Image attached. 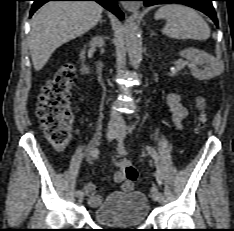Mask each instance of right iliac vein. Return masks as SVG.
I'll return each mask as SVG.
<instances>
[{
  "mask_svg": "<svg viewBox=\"0 0 234 231\" xmlns=\"http://www.w3.org/2000/svg\"><path fill=\"white\" fill-rule=\"evenodd\" d=\"M120 135V132L119 130L115 129V128H110L108 131H107V139L109 141H112L113 139H116L118 138V136ZM84 199V194H80L78 195V201L79 202H82Z\"/></svg>",
  "mask_w": 234,
  "mask_h": 231,
  "instance_id": "obj_1",
  "label": "right iliac vein"
}]
</instances>
